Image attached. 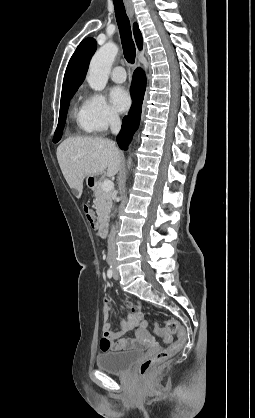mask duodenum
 I'll use <instances>...</instances> for the list:
<instances>
[{
	"label": "duodenum",
	"instance_id": "obj_1",
	"mask_svg": "<svg viewBox=\"0 0 255 418\" xmlns=\"http://www.w3.org/2000/svg\"><path fill=\"white\" fill-rule=\"evenodd\" d=\"M98 236L101 238L106 237L107 235V220L105 218L100 219L97 227Z\"/></svg>",
	"mask_w": 255,
	"mask_h": 418
}]
</instances>
